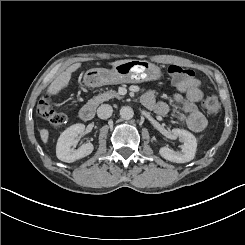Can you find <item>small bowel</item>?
Segmentation results:
<instances>
[{
    "label": "small bowel",
    "instance_id": "obj_1",
    "mask_svg": "<svg viewBox=\"0 0 245 245\" xmlns=\"http://www.w3.org/2000/svg\"><path fill=\"white\" fill-rule=\"evenodd\" d=\"M176 89L174 103L177 107L178 120L194 132L202 131L207 125V120L197 106L203 98L200 81L192 77L186 81L177 83ZM142 102L148 109L153 110L161 116L169 113L171 109L167 103L156 101V96L153 91H147L142 97Z\"/></svg>",
    "mask_w": 245,
    "mask_h": 245
}]
</instances>
